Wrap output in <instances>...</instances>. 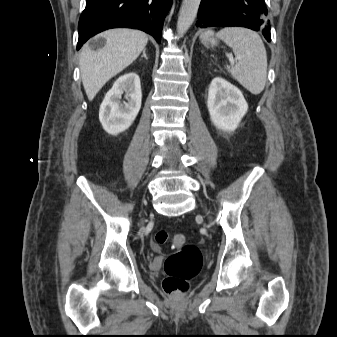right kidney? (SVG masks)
I'll use <instances>...</instances> for the list:
<instances>
[{"label": "right kidney", "mask_w": 337, "mask_h": 337, "mask_svg": "<svg viewBox=\"0 0 337 337\" xmlns=\"http://www.w3.org/2000/svg\"><path fill=\"white\" fill-rule=\"evenodd\" d=\"M125 92L127 103H120ZM140 78L135 72L120 76L107 92L99 109V120L104 130L117 135L128 129L141 108Z\"/></svg>", "instance_id": "1"}]
</instances>
